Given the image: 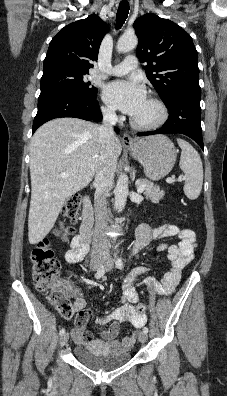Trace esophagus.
<instances>
[{
    "mask_svg": "<svg viewBox=\"0 0 227 396\" xmlns=\"http://www.w3.org/2000/svg\"><path fill=\"white\" fill-rule=\"evenodd\" d=\"M122 142H123L124 145H127V146L134 144L133 138L128 133H125L123 135Z\"/></svg>",
    "mask_w": 227,
    "mask_h": 396,
    "instance_id": "34e87169",
    "label": "esophagus"
}]
</instances>
